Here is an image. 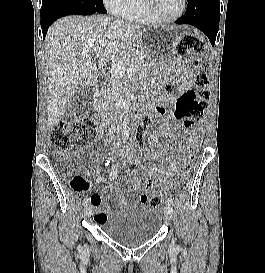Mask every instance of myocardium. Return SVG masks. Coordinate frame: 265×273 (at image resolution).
I'll return each instance as SVG.
<instances>
[{
	"mask_svg": "<svg viewBox=\"0 0 265 273\" xmlns=\"http://www.w3.org/2000/svg\"><path fill=\"white\" fill-rule=\"evenodd\" d=\"M143 2V7L144 10L146 11L147 15L149 16V18L154 22V23H171L174 21H177L178 19H180L186 12L187 9V0H182V7L181 10L179 11V13L173 17H169V18H165V17H160L158 16L153 8H152V2L153 0H142Z\"/></svg>",
	"mask_w": 265,
	"mask_h": 273,
	"instance_id": "1",
	"label": "myocardium"
}]
</instances>
